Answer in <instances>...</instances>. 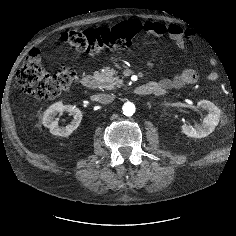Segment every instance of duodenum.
<instances>
[{
    "mask_svg": "<svg viewBox=\"0 0 236 236\" xmlns=\"http://www.w3.org/2000/svg\"><path fill=\"white\" fill-rule=\"evenodd\" d=\"M82 85L87 89H94L96 79L92 75H86L82 78ZM134 92L139 95H149L154 93V86L150 83L138 85L134 88Z\"/></svg>",
    "mask_w": 236,
    "mask_h": 236,
    "instance_id": "duodenum-1",
    "label": "duodenum"
}]
</instances>
